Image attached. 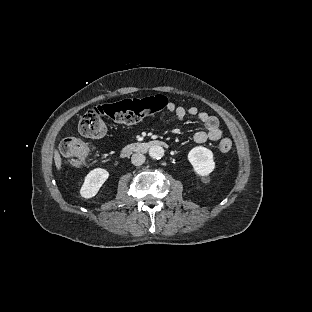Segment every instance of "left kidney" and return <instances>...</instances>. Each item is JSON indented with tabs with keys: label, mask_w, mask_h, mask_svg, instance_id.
I'll return each mask as SVG.
<instances>
[{
	"label": "left kidney",
	"mask_w": 312,
	"mask_h": 312,
	"mask_svg": "<svg viewBox=\"0 0 312 312\" xmlns=\"http://www.w3.org/2000/svg\"><path fill=\"white\" fill-rule=\"evenodd\" d=\"M213 157L214 155L211 149L197 146L189 151L187 159L191 164L194 173L198 177L203 178L204 176L211 175L216 168Z\"/></svg>",
	"instance_id": "left-kidney-1"
}]
</instances>
